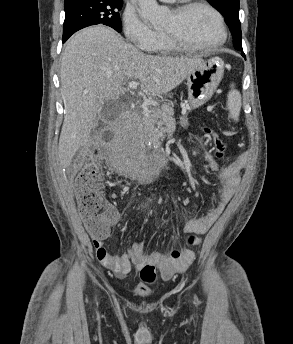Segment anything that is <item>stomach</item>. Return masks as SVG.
<instances>
[{"label":"stomach","instance_id":"0dacf381","mask_svg":"<svg viewBox=\"0 0 293 344\" xmlns=\"http://www.w3.org/2000/svg\"><path fill=\"white\" fill-rule=\"evenodd\" d=\"M224 72L223 62L219 58L203 61L187 77L190 109L205 104L217 89Z\"/></svg>","mask_w":293,"mask_h":344}]
</instances>
